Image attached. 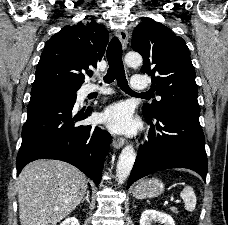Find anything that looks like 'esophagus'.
I'll list each match as a JSON object with an SVG mask.
<instances>
[{
    "mask_svg": "<svg viewBox=\"0 0 228 225\" xmlns=\"http://www.w3.org/2000/svg\"><path fill=\"white\" fill-rule=\"evenodd\" d=\"M117 37L119 38L123 50H125L128 46V32L127 30H119L117 32ZM125 143V139L123 137H114L113 138V147L115 149H120Z\"/></svg>",
    "mask_w": 228,
    "mask_h": 225,
    "instance_id": "1",
    "label": "esophagus"
}]
</instances>
